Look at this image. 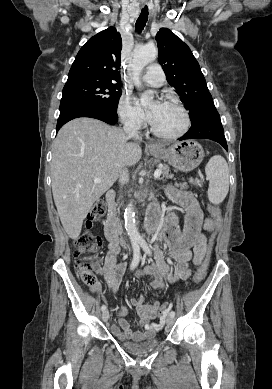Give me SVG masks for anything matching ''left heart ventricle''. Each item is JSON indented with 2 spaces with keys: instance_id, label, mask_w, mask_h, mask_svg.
<instances>
[{
  "instance_id": "left-heart-ventricle-1",
  "label": "left heart ventricle",
  "mask_w": 272,
  "mask_h": 389,
  "mask_svg": "<svg viewBox=\"0 0 272 389\" xmlns=\"http://www.w3.org/2000/svg\"><path fill=\"white\" fill-rule=\"evenodd\" d=\"M151 123L160 132L175 133L183 125V116L174 106L161 103Z\"/></svg>"
}]
</instances>
